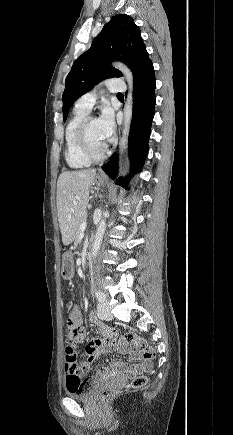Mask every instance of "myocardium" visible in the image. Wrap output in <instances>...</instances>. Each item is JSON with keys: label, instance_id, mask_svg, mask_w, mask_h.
Instances as JSON below:
<instances>
[{"label": "myocardium", "instance_id": "f54148a6", "mask_svg": "<svg viewBox=\"0 0 233 435\" xmlns=\"http://www.w3.org/2000/svg\"><path fill=\"white\" fill-rule=\"evenodd\" d=\"M95 119H96L95 117L86 116L81 122L77 131V141H78L79 148L82 154L84 155V157L91 162H99L104 160L108 156L110 151L109 144H107L105 149L99 153L93 151L89 144L88 128L90 123Z\"/></svg>", "mask_w": 233, "mask_h": 435}]
</instances>
